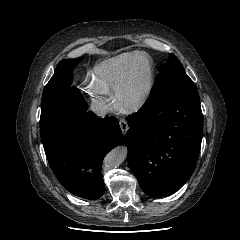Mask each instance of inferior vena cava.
Wrapping results in <instances>:
<instances>
[{
	"instance_id": "1",
	"label": "inferior vena cava",
	"mask_w": 240,
	"mask_h": 240,
	"mask_svg": "<svg viewBox=\"0 0 240 240\" xmlns=\"http://www.w3.org/2000/svg\"><path fill=\"white\" fill-rule=\"evenodd\" d=\"M90 108L99 117H105L109 112L108 104L102 99H93Z\"/></svg>"
}]
</instances>
